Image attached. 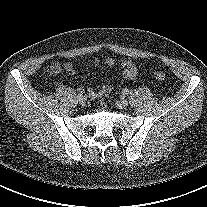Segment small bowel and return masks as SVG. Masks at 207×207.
Here are the masks:
<instances>
[{
  "label": "small bowel",
  "mask_w": 207,
  "mask_h": 207,
  "mask_svg": "<svg viewBox=\"0 0 207 207\" xmlns=\"http://www.w3.org/2000/svg\"><path fill=\"white\" fill-rule=\"evenodd\" d=\"M92 62L95 66H97L99 64V59L94 58ZM105 64L108 67H112L115 64V61L113 58H107L105 61ZM121 66H122V76L125 79L133 80L137 77V75H138L137 67L131 60H129V59L123 60L121 62ZM51 67H56L58 69V72H60L62 69V66L59 63H54L51 65ZM63 68L65 69V71L68 74H70V75L75 74V69L71 63L64 64ZM111 90H112V84L109 83V84L103 85L99 88H88L87 92H88V95L90 98L95 99V98H98L104 94L109 93Z\"/></svg>",
  "instance_id": "1"
}]
</instances>
